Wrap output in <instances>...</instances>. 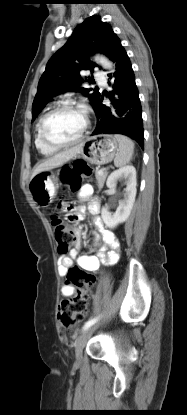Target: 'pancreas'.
<instances>
[{"mask_svg":"<svg viewBox=\"0 0 187 415\" xmlns=\"http://www.w3.org/2000/svg\"><path fill=\"white\" fill-rule=\"evenodd\" d=\"M95 177H96V180H97V183H98V188L102 189L103 186H104L106 177H107V173L105 172L103 174H99V171L96 170Z\"/></svg>","mask_w":187,"mask_h":415,"instance_id":"1","label":"pancreas"}]
</instances>
